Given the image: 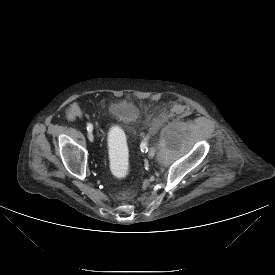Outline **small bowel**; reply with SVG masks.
<instances>
[{
  "label": "small bowel",
  "mask_w": 275,
  "mask_h": 275,
  "mask_svg": "<svg viewBox=\"0 0 275 275\" xmlns=\"http://www.w3.org/2000/svg\"><path fill=\"white\" fill-rule=\"evenodd\" d=\"M65 114L68 119L72 121H77L82 118L84 114V109L81 104L77 102H72L67 105L65 109Z\"/></svg>",
  "instance_id": "1"
}]
</instances>
